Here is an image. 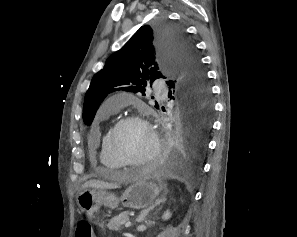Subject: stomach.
Here are the masks:
<instances>
[{"mask_svg": "<svg viewBox=\"0 0 297 237\" xmlns=\"http://www.w3.org/2000/svg\"><path fill=\"white\" fill-rule=\"evenodd\" d=\"M162 190L161 184L147 180L132 183L120 198L104 190L86 188L78 195L77 204L81 211L88 215L97 212L102 205L115 209L120 202L128 208L142 209L151 205Z\"/></svg>", "mask_w": 297, "mask_h": 237, "instance_id": "obj_1", "label": "stomach"}]
</instances>
